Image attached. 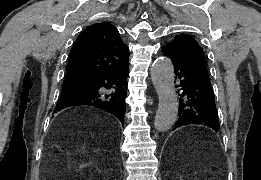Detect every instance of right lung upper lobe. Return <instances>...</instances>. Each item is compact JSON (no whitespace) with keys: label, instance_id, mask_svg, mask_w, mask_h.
I'll list each match as a JSON object with an SVG mask.
<instances>
[{"label":"right lung upper lobe","instance_id":"right-lung-upper-lobe-1","mask_svg":"<svg viewBox=\"0 0 261 180\" xmlns=\"http://www.w3.org/2000/svg\"><path fill=\"white\" fill-rule=\"evenodd\" d=\"M129 50L109 23L87 27L69 53L65 82H89L100 73L128 64Z\"/></svg>","mask_w":261,"mask_h":180}]
</instances>
